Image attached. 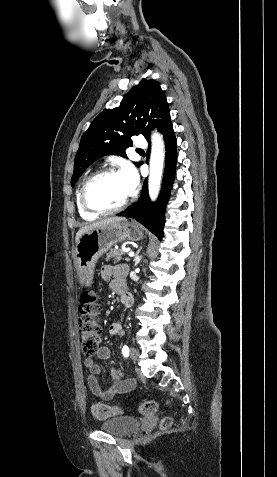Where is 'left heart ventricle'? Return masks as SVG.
Here are the masks:
<instances>
[{"label": "left heart ventricle", "instance_id": "obj_1", "mask_svg": "<svg viewBox=\"0 0 277 477\" xmlns=\"http://www.w3.org/2000/svg\"><path fill=\"white\" fill-rule=\"evenodd\" d=\"M128 196L120 173L107 175L98 179L93 183L88 192L89 202L100 208L118 206Z\"/></svg>", "mask_w": 277, "mask_h": 477}]
</instances>
